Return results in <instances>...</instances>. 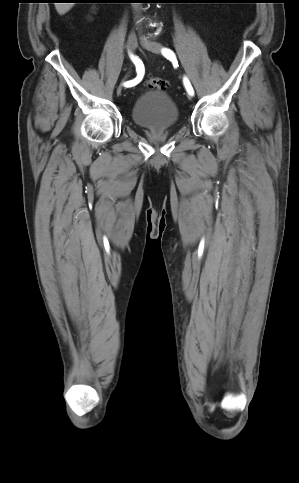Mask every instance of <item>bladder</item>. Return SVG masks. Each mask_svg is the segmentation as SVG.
Masks as SVG:
<instances>
[{"label": "bladder", "instance_id": "obj_1", "mask_svg": "<svg viewBox=\"0 0 299 483\" xmlns=\"http://www.w3.org/2000/svg\"><path fill=\"white\" fill-rule=\"evenodd\" d=\"M133 121L145 129L159 131L174 126L179 113L175 102L163 90L145 92L131 110Z\"/></svg>", "mask_w": 299, "mask_h": 483}]
</instances>
